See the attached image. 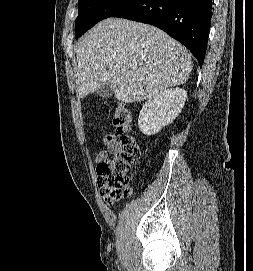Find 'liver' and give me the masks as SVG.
Masks as SVG:
<instances>
[{"instance_id": "6515ba94", "label": "liver", "mask_w": 253, "mask_h": 271, "mask_svg": "<svg viewBox=\"0 0 253 271\" xmlns=\"http://www.w3.org/2000/svg\"><path fill=\"white\" fill-rule=\"evenodd\" d=\"M79 98L108 85L124 103L150 99L186 82L191 54L162 30L126 19H106L76 49Z\"/></svg>"}]
</instances>
